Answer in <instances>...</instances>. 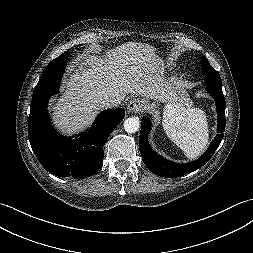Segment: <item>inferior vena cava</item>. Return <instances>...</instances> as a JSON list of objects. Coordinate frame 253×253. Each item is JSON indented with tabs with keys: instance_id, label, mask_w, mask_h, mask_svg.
<instances>
[{
	"instance_id": "1",
	"label": "inferior vena cava",
	"mask_w": 253,
	"mask_h": 253,
	"mask_svg": "<svg viewBox=\"0 0 253 253\" xmlns=\"http://www.w3.org/2000/svg\"><path fill=\"white\" fill-rule=\"evenodd\" d=\"M102 108H113L120 104V101L115 98L105 97L100 100Z\"/></svg>"
}]
</instances>
